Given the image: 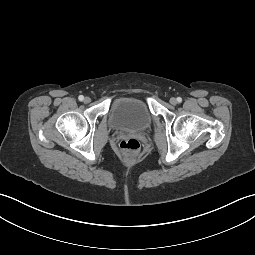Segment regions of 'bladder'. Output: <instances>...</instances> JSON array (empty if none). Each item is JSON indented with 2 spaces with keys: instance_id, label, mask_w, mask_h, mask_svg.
Wrapping results in <instances>:
<instances>
[{
  "instance_id": "1",
  "label": "bladder",
  "mask_w": 255,
  "mask_h": 255,
  "mask_svg": "<svg viewBox=\"0 0 255 255\" xmlns=\"http://www.w3.org/2000/svg\"><path fill=\"white\" fill-rule=\"evenodd\" d=\"M108 121L117 130L143 131L150 127L152 115L143 100L120 97L112 102Z\"/></svg>"
}]
</instances>
